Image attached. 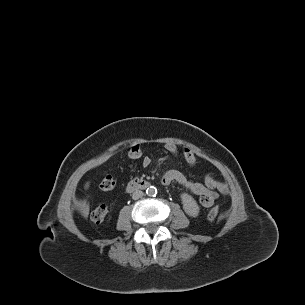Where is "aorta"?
Returning <instances> with one entry per match:
<instances>
[{"mask_svg": "<svg viewBox=\"0 0 305 305\" xmlns=\"http://www.w3.org/2000/svg\"><path fill=\"white\" fill-rule=\"evenodd\" d=\"M146 194H147L148 196H155V195L157 194V189H156V187H154V186L148 187L147 190H146Z\"/></svg>", "mask_w": 305, "mask_h": 305, "instance_id": "762f6f07", "label": "aorta"}]
</instances>
